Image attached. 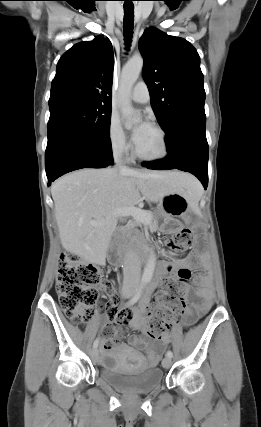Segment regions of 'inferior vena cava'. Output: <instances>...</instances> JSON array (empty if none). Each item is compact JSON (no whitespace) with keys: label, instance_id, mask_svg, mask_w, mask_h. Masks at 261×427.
I'll list each match as a JSON object with an SVG mask.
<instances>
[{"label":"inferior vena cava","instance_id":"obj_1","mask_svg":"<svg viewBox=\"0 0 261 427\" xmlns=\"http://www.w3.org/2000/svg\"><path fill=\"white\" fill-rule=\"evenodd\" d=\"M122 155L121 146L115 147L113 150L114 162L115 166L121 172H127L129 170L128 167L124 166L120 162V158ZM124 285L128 286H137L140 283L141 278V265L138 259L136 252L133 249L127 250L124 259Z\"/></svg>","mask_w":261,"mask_h":427}]
</instances>
